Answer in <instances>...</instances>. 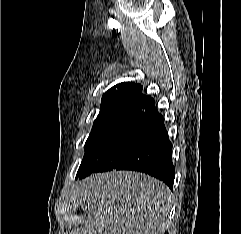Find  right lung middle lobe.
I'll list each match as a JSON object with an SVG mask.
<instances>
[{"label": "right lung middle lobe", "mask_w": 241, "mask_h": 234, "mask_svg": "<svg viewBox=\"0 0 241 234\" xmlns=\"http://www.w3.org/2000/svg\"><path fill=\"white\" fill-rule=\"evenodd\" d=\"M138 106L131 104L102 106L85 143V155L78 173L85 167L95 150ZM77 173V174H78Z\"/></svg>", "instance_id": "right-lung-middle-lobe-1"}]
</instances>
